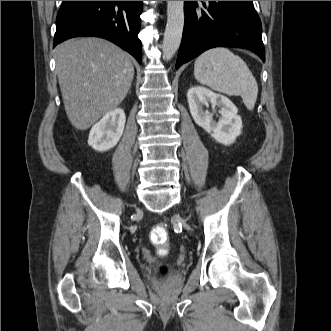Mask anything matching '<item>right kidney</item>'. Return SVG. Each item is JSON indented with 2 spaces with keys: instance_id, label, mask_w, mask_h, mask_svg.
<instances>
[{
  "instance_id": "1",
  "label": "right kidney",
  "mask_w": 331,
  "mask_h": 331,
  "mask_svg": "<svg viewBox=\"0 0 331 331\" xmlns=\"http://www.w3.org/2000/svg\"><path fill=\"white\" fill-rule=\"evenodd\" d=\"M126 116L122 109H114L96 123L89 133L88 144L96 151L104 152L112 149L119 142Z\"/></svg>"
}]
</instances>
